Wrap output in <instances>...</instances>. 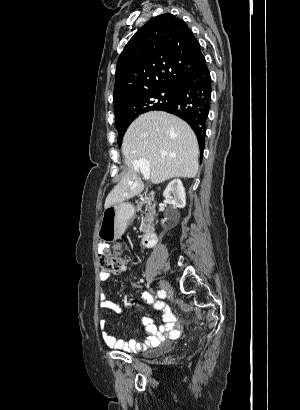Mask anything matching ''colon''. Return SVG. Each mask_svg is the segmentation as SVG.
I'll use <instances>...</instances> for the list:
<instances>
[{"label":"colon","instance_id":"1","mask_svg":"<svg viewBox=\"0 0 300 410\" xmlns=\"http://www.w3.org/2000/svg\"><path fill=\"white\" fill-rule=\"evenodd\" d=\"M99 265L105 273H123L127 269L128 261L113 254H100Z\"/></svg>","mask_w":300,"mask_h":410}]
</instances>
